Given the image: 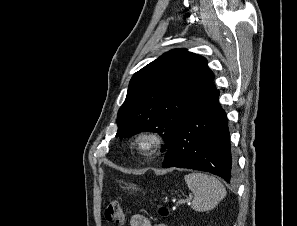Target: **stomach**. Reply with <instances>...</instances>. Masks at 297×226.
<instances>
[{"label": "stomach", "mask_w": 297, "mask_h": 226, "mask_svg": "<svg viewBox=\"0 0 297 226\" xmlns=\"http://www.w3.org/2000/svg\"><path fill=\"white\" fill-rule=\"evenodd\" d=\"M128 188H129V189H133V190H137V187H136L135 185H133V184L129 185Z\"/></svg>", "instance_id": "0dacf381"}]
</instances>
